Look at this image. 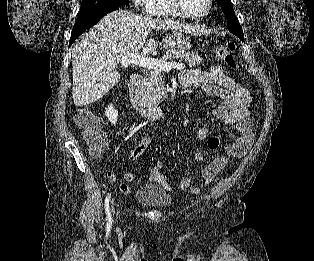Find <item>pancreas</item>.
<instances>
[{
  "label": "pancreas",
  "instance_id": "1",
  "mask_svg": "<svg viewBox=\"0 0 314 261\" xmlns=\"http://www.w3.org/2000/svg\"><path fill=\"white\" fill-rule=\"evenodd\" d=\"M184 59L189 67L199 65L203 58L197 53H190L175 48H166V54L162 60ZM162 72L150 69L144 77V98L151 103H160L166 98L165 84L162 80Z\"/></svg>",
  "mask_w": 314,
  "mask_h": 261
}]
</instances>
